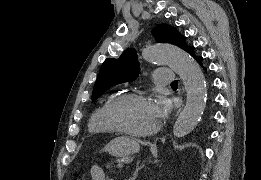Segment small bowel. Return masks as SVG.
Listing matches in <instances>:
<instances>
[{
  "instance_id": "small-bowel-1",
  "label": "small bowel",
  "mask_w": 261,
  "mask_h": 180,
  "mask_svg": "<svg viewBox=\"0 0 261 180\" xmlns=\"http://www.w3.org/2000/svg\"><path fill=\"white\" fill-rule=\"evenodd\" d=\"M90 173L93 180H105L106 176L104 171L97 165H94L90 169Z\"/></svg>"
}]
</instances>
